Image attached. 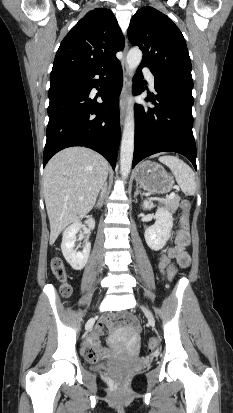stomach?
Masks as SVG:
<instances>
[{
	"label": "stomach",
	"mask_w": 233,
	"mask_h": 413,
	"mask_svg": "<svg viewBox=\"0 0 233 413\" xmlns=\"http://www.w3.org/2000/svg\"><path fill=\"white\" fill-rule=\"evenodd\" d=\"M135 179L143 189L158 194L169 192L174 184V180L165 169L152 161H145L137 166Z\"/></svg>",
	"instance_id": "stomach-1"
}]
</instances>
